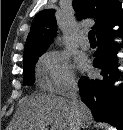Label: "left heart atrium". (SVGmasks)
<instances>
[{
	"label": "left heart atrium",
	"mask_w": 123,
	"mask_h": 130,
	"mask_svg": "<svg viewBox=\"0 0 123 130\" xmlns=\"http://www.w3.org/2000/svg\"><path fill=\"white\" fill-rule=\"evenodd\" d=\"M80 66H81L82 68H85V67H86V63H85L84 61H81V62H80Z\"/></svg>",
	"instance_id": "39dd6f15"
}]
</instances>
